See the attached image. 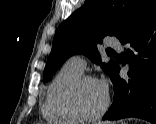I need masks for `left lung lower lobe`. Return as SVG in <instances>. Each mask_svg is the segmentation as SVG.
Instances as JSON below:
<instances>
[{
    "label": "left lung lower lobe",
    "mask_w": 156,
    "mask_h": 124,
    "mask_svg": "<svg viewBox=\"0 0 156 124\" xmlns=\"http://www.w3.org/2000/svg\"><path fill=\"white\" fill-rule=\"evenodd\" d=\"M127 44L121 54L128 63V80L119 76L117 62L110 78L114 98L103 120L139 117L156 124V0H150L135 26L120 39Z\"/></svg>",
    "instance_id": "left-lung-lower-lobe-1"
}]
</instances>
